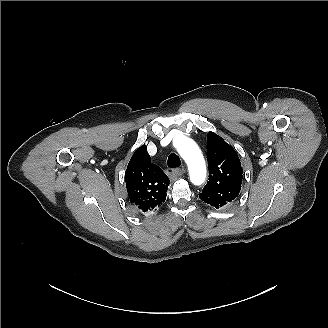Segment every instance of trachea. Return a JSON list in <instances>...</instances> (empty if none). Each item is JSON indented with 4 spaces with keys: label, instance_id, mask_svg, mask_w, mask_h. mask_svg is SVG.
Returning <instances> with one entry per match:
<instances>
[{
    "label": "trachea",
    "instance_id": "1",
    "mask_svg": "<svg viewBox=\"0 0 328 328\" xmlns=\"http://www.w3.org/2000/svg\"><path fill=\"white\" fill-rule=\"evenodd\" d=\"M167 164L170 168H177L181 165V160L177 154L171 153L168 156Z\"/></svg>",
    "mask_w": 328,
    "mask_h": 328
}]
</instances>
